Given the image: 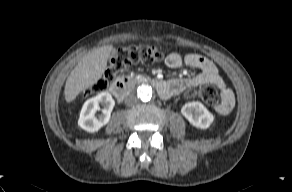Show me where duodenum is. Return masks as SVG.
<instances>
[{
	"instance_id": "1",
	"label": "duodenum",
	"mask_w": 292,
	"mask_h": 192,
	"mask_svg": "<svg viewBox=\"0 0 292 192\" xmlns=\"http://www.w3.org/2000/svg\"><path fill=\"white\" fill-rule=\"evenodd\" d=\"M161 97H167L169 95V84L163 80H148ZM134 85V80L130 78H120L111 86V93L119 100L122 101L130 93Z\"/></svg>"
}]
</instances>
